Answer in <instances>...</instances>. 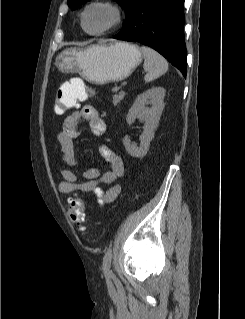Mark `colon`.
<instances>
[{"instance_id":"obj_1","label":"colon","mask_w":245,"mask_h":319,"mask_svg":"<svg viewBox=\"0 0 245 319\" xmlns=\"http://www.w3.org/2000/svg\"><path fill=\"white\" fill-rule=\"evenodd\" d=\"M56 112L63 114L73 107H77L87 96V88L83 85L78 88L75 93H71L59 88L57 92ZM68 212L71 221L77 225L82 226L85 220L84 204L79 198H72L68 203Z\"/></svg>"}]
</instances>
